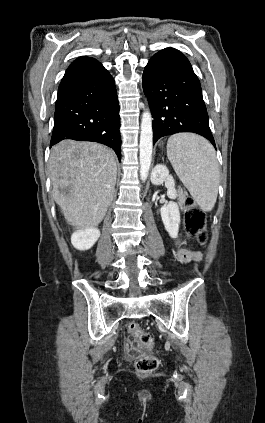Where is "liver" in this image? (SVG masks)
<instances>
[{
    "mask_svg": "<svg viewBox=\"0 0 265 423\" xmlns=\"http://www.w3.org/2000/svg\"><path fill=\"white\" fill-rule=\"evenodd\" d=\"M49 169L53 198L66 222L76 229L97 226L113 200V151L98 143L63 140L51 149Z\"/></svg>",
    "mask_w": 265,
    "mask_h": 423,
    "instance_id": "liver-1",
    "label": "liver"
}]
</instances>
